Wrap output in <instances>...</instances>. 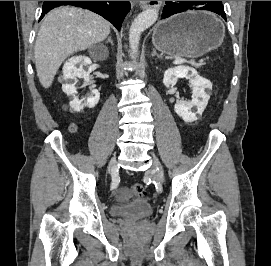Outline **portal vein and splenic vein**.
<instances>
[{"label": "portal vein and splenic vein", "instance_id": "18ae733b", "mask_svg": "<svg viewBox=\"0 0 271 266\" xmlns=\"http://www.w3.org/2000/svg\"><path fill=\"white\" fill-rule=\"evenodd\" d=\"M185 62H187L186 59H176V60L173 61V64H183ZM201 63H202L201 61H199V63H196V62H193V61L191 62L192 65H196V66L200 65Z\"/></svg>", "mask_w": 271, "mask_h": 266}]
</instances>
